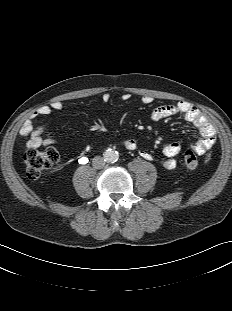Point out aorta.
I'll use <instances>...</instances> for the list:
<instances>
[{
  "mask_svg": "<svg viewBox=\"0 0 232 311\" xmlns=\"http://www.w3.org/2000/svg\"><path fill=\"white\" fill-rule=\"evenodd\" d=\"M103 157L107 163H115L119 158V154L116 150L108 148L104 151Z\"/></svg>",
  "mask_w": 232,
  "mask_h": 311,
  "instance_id": "aorta-1",
  "label": "aorta"
}]
</instances>
